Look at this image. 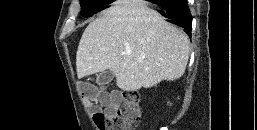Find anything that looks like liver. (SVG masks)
Returning <instances> with one entry per match:
<instances>
[{
    "instance_id": "liver-1",
    "label": "liver",
    "mask_w": 257,
    "mask_h": 130,
    "mask_svg": "<svg viewBox=\"0 0 257 130\" xmlns=\"http://www.w3.org/2000/svg\"><path fill=\"white\" fill-rule=\"evenodd\" d=\"M188 36L140 0H119L85 29L76 53L78 78L110 70L123 91L179 79Z\"/></svg>"
}]
</instances>
